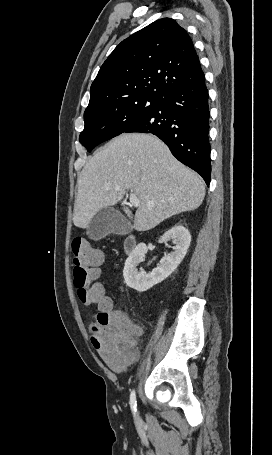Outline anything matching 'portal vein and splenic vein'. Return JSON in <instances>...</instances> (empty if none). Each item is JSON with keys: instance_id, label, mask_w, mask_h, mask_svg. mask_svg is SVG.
Wrapping results in <instances>:
<instances>
[{"instance_id": "portal-vein-and-splenic-vein-1", "label": "portal vein and splenic vein", "mask_w": 272, "mask_h": 455, "mask_svg": "<svg viewBox=\"0 0 272 455\" xmlns=\"http://www.w3.org/2000/svg\"><path fill=\"white\" fill-rule=\"evenodd\" d=\"M130 203L135 206V207H139L140 206V201L138 200L137 196L134 194V193H131L130 194Z\"/></svg>"}]
</instances>
